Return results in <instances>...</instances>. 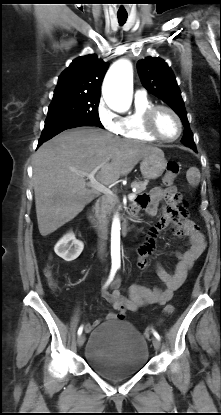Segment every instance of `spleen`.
<instances>
[{
	"mask_svg": "<svg viewBox=\"0 0 221 415\" xmlns=\"http://www.w3.org/2000/svg\"><path fill=\"white\" fill-rule=\"evenodd\" d=\"M186 177L191 186L196 187L199 185L201 175L197 168L195 167L190 168L187 171Z\"/></svg>",
	"mask_w": 221,
	"mask_h": 415,
	"instance_id": "3e777b00",
	"label": "spleen"
}]
</instances>
